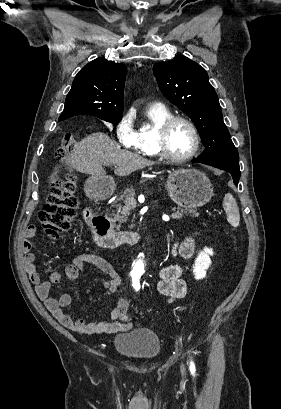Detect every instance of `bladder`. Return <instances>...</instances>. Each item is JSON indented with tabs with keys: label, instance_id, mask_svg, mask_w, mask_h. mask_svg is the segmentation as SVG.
Here are the masks:
<instances>
[{
	"label": "bladder",
	"instance_id": "bladder-1",
	"mask_svg": "<svg viewBox=\"0 0 281 409\" xmlns=\"http://www.w3.org/2000/svg\"><path fill=\"white\" fill-rule=\"evenodd\" d=\"M114 351L137 361H151L163 351L160 336L151 328H127L114 336Z\"/></svg>",
	"mask_w": 281,
	"mask_h": 409
}]
</instances>
